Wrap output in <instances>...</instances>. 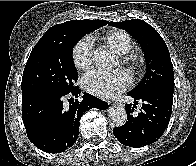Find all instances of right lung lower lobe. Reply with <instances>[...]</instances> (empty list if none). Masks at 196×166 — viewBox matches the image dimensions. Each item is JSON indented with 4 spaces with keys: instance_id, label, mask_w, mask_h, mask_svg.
<instances>
[{
    "instance_id": "98d812e1",
    "label": "right lung lower lobe",
    "mask_w": 196,
    "mask_h": 166,
    "mask_svg": "<svg viewBox=\"0 0 196 166\" xmlns=\"http://www.w3.org/2000/svg\"><path fill=\"white\" fill-rule=\"evenodd\" d=\"M81 90L75 87L69 93L47 89L22 92V118L29 140L47 153H60L71 147L79 134L81 116L91 108L104 110L108 103L88 93L78 98ZM66 97L69 107L63 104ZM72 100V102H70Z\"/></svg>"
}]
</instances>
